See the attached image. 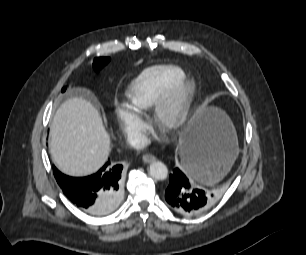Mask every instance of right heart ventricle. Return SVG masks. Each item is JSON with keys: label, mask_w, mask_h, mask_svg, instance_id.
<instances>
[{"label": "right heart ventricle", "mask_w": 306, "mask_h": 255, "mask_svg": "<svg viewBox=\"0 0 306 255\" xmlns=\"http://www.w3.org/2000/svg\"><path fill=\"white\" fill-rule=\"evenodd\" d=\"M185 79L184 71L171 64L144 69L129 85L127 97L138 114L148 112L168 91Z\"/></svg>", "instance_id": "1"}]
</instances>
